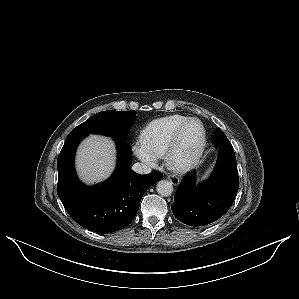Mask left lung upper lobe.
<instances>
[{"label":"left lung upper lobe","mask_w":299,"mask_h":299,"mask_svg":"<svg viewBox=\"0 0 299 299\" xmlns=\"http://www.w3.org/2000/svg\"><path fill=\"white\" fill-rule=\"evenodd\" d=\"M212 140L214 143H221L223 145H228L230 144L229 140L227 139L226 135L222 132V130L220 128H217Z\"/></svg>","instance_id":"5c2ea615"}]
</instances>
